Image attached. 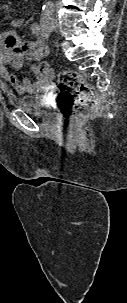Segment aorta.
Listing matches in <instances>:
<instances>
[{"label": "aorta", "mask_w": 127, "mask_h": 303, "mask_svg": "<svg viewBox=\"0 0 127 303\" xmlns=\"http://www.w3.org/2000/svg\"><path fill=\"white\" fill-rule=\"evenodd\" d=\"M52 4H53V2L51 0H47L45 5L46 6H51Z\"/></svg>", "instance_id": "obj_1"}]
</instances>
